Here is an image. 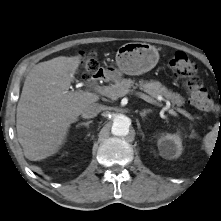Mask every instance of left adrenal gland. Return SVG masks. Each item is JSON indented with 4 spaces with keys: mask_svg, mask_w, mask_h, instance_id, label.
I'll use <instances>...</instances> for the list:
<instances>
[{
    "mask_svg": "<svg viewBox=\"0 0 221 221\" xmlns=\"http://www.w3.org/2000/svg\"><path fill=\"white\" fill-rule=\"evenodd\" d=\"M151 112H152V110L148 109V110L141 111L139 114L142 118H144L147 114H149Z\"/></svg>",
    "mask_w": 221,
    "mask_h": 221,
    "instance_id": "left-adrenal-gland-1",
    "label": "left adrenal gland"
}]
</instances>
